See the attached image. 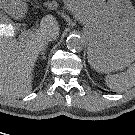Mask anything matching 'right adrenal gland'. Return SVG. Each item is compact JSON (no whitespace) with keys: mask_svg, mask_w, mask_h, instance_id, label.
<instances>
[{"mask_svg":"<svg viewBox=\"0 0 135 135\" xmlns=\"http://www.w3.org/2000/svg\"><path fill=\"white\" fill-rule=\"evenodd\" d=\"M46 45L44 46V48H43V51H42V53H41V58L42 59H46V57H45V50H46Z\"/></svg>","mask_w":135,"mask_h":135,"instance_id":"1","label":"right adrenal gland"}]
</instances>
